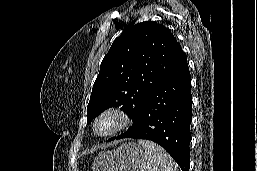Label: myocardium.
Listing matches in <instances>:
<instances>
[{
  "label": "myocardium",
  "instance_id": "myocardium-1",
  "mask_svg": "<svg viewBox=\"0 0 257 171\" xmlns=\"http://www.w3.org/2000/svg\"><path fill=\"white\" fill-rule=\"evenodd\" d=\"M106 118L114 119V126L108 131L99 132L97 129L98 124ZM130 123L131 116L126 110L120 107H108L96 115L92 122V130L94 134L99 137H110L125 130L130 125Z\"/></svg>",
  "mask_w": 257,
  "mask_h": 171
}]
</instances>
